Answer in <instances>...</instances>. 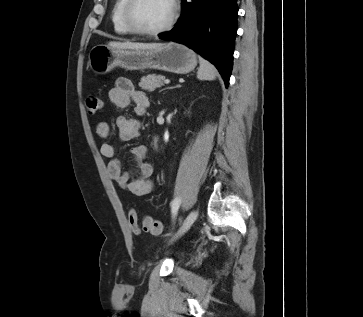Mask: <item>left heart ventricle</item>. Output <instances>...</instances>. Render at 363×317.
<instances>
[{"mask_svg":"<svg viewBox=\"0 0 363 317\" xmlns=\"http://www.w3.org/2000/svg\"><path fill=\"white\" fill-rule=\"evenodd\" d=\"M170 13V0H138L133 18L142 29L154 30L166 23Z\"/></svg>","mask_w":363,"mask_h":317,"instance_id":"1","label":"left heart ventricle"}]
</instances>
